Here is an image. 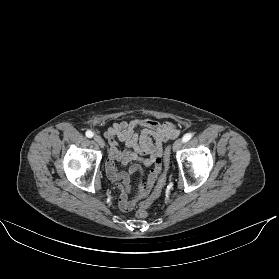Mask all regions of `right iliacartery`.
I'll return each mask as SVG.
<instances>
[{"instance_id": "obj_1", "label": "right iliac artery", "mask_w": 279, "mask_h": 279, "mask_svg": "<svg viewBox=\"0 0 279 279\" xmlns=\"http://www.w3.org/2000/svg\"><path fill=\"white\" fill-rule=\"evenodd\" d=\"M93 132L92 131H90V130H88V131H86V136L88 137V138H91V137H93Z\"/></svg>"}]
</instances>
